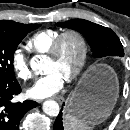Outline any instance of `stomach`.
I'll use <instances>...</instances> for the list:
<instances>
[{"label": "stomach", "instance_id": "0dacf381", "mask_svg": "<svg viewBox=\"0 0 130 130\" xmlns=\"http://www.w3.org/2000/svg\"><path fill=\"white\" fill-rule=\"evenodd\" d=\"M92 75L104 76L108 83L96 87L92 93L85 95L82 91L83 84ZM118 94L119 85L115 72L109 66L99 65L80 82L78 88L68 98L67 113L87 125L101 123L114 109Z\"/></svg>", "mask_w": 130, "mask_h": 130}]
</instances>
